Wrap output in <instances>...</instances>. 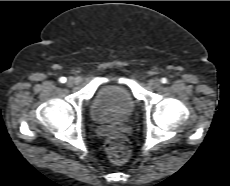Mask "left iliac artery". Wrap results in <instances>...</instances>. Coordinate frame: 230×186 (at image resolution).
Wrapping results in <instances>:
<instances>
[{"label": "left iliac artery", "instance_id": "44dca946", "mask_svg": "<svg viewBox=\"0 0 230 186\" xmlns=\"http://www.w3.org/2000/svg\"><path fill=\"white\" fill-rule=\"evenodd\" d=\"M161 82H162L163 84H166V83L168 82V80H167V78H162V79H161Z\"/></svg>", "mask_w": 230, "mask_h": 186}]
</instances>
